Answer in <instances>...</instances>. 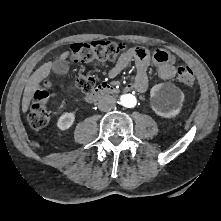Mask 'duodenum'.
Returning a JSON list of instances; mask_svg holds the SVG:
<instances>
[{
	"mask_svg": "<svg viewBox=\"0 0 221 221\" xmlns=\"http://www.w3.org/2000/svg\"><path fill=\"white\" fill-rule=\"evenodd\" d=\"M115 93H117V90L113 86L107 83H102L97 86L89 95L86 96V100L88 102H94L106 95Z\"/></svg>",
	"mask_w": 221,
	"mask_h": 221,
	"instance_id": "410a0bca",
	"label": "duodenum"
}]
</instances>
